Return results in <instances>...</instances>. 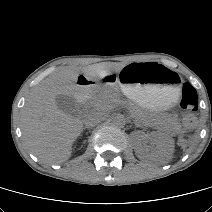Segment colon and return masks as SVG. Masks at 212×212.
Returning a JSON list of instances; mask_svg holds the SVG:
<instances>
[{
  "instance_id": "1",
  "label": "colon",
  "mask_w": 212,
  "mask_h": 212,
  "mask_svg": "<svg viewBox=\"0 0 212 212\" xmlns=\"http://www.w3.org/2000/svg\"><path fill=\"white\" fill-rule=\"evenodd\" d=\"M179 105L184 110V123L186 126H193L197 121L198 95L195 88L184 83L181 89Z\"/></svg>"
}]
</instances>
